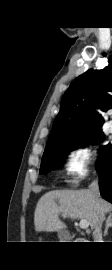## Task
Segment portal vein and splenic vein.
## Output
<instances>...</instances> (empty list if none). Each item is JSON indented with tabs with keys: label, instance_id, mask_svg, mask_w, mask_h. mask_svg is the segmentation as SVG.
<instances>
[{
	"label": "portal vein and splenic vein",
	"instance_id": "1",
	"mask_svg": "<svg viewBox=\"0 0 112 270\" xmlns=\"http://www.w3.org/2000/svg\"><path fill=\"white\" fill-rule=\"evenodd\" d=\"M65 215H67V214L65 213ZM79 226L82 229H87L89 227V222L87 220H85V219H82L79 222Z\"/></svg>",
	"mask_w": 112,
	"mask_h": 270
}]
</instances>
